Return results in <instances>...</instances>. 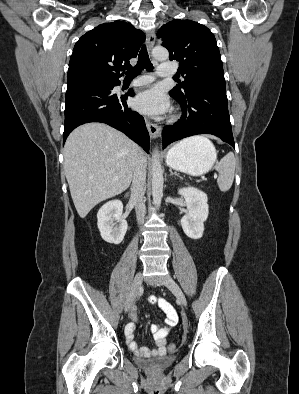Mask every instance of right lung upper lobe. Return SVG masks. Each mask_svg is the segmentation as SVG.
<instances>
[{
    "label": "right lung upper lobe",
    "instance_id": "1",
    "mask_svg": "<svg viewBox=\"0 0 299 394\" xmlns=\"http://www.w3.org/2000/svg\"><path fill=\"white\" fill-rule=\"evenodd\" d=\"M145 40L142 31L130 23H104L84 34L75 44L69 62L68 87L119 80L120 71L129 69Z\"/></svg>",
    "mask_w": 299,
    "mask_h": 394
}]
</instances>
